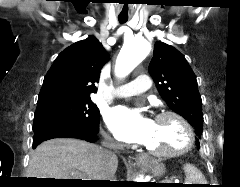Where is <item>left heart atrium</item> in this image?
<instances>
[{
	"instance_id": "1",
	"label": "left heart atrium",
	"mask_w": 240,
	"mask_h": 187,
	"mask_svg": "<svg viewBox=\"0 0 240 187\" xmlns=\"http://www.w3.org/2000/svg\"><path fill=\"white\" fill-rule=\"evenodd\" d=\"M106 121L114 135L122 141L147 145L155 129V121L137 117L124 107L110 110Z\"/></svg>"
}]
</instances>
